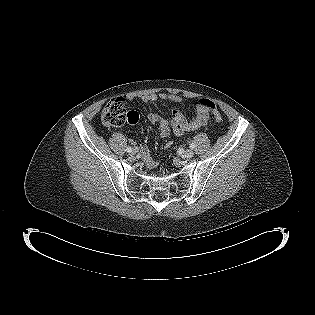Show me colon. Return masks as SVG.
Returning <instances> with one entry per match:
<instances>
[{"label":"colon","mask_w":315,"mask_h":315,"mask_svg":"<svg viewBox=\"0 0 315 315\" xmlns=\"http://www.w3.org/2000/svg\"><path fill=\"white\" fill-rule=\"evenodd\" d=\"M199 104L210 111L212 118L216 122L222 121V115L215 104L207 99L199 100ZM138 120V114L134 111H128L122 98L112 100L107 104L103 111V122L109 127H120L125 123H135Z\"/></svg>","instance_id":"5ec220e1"}]
</instances>
